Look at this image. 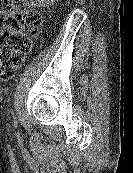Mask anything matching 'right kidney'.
Wrapping results in <instances>:
<instances>
[{
    "instance_id": "right-kidney-1",
    "label": "right kidney",
    "mask_w": 133,
    "mask_h": 173,
    "mask_svg": "<svg viewBox=\"0 0 133 173\" xmlns=\"http://www.w3.org/2000/svg\"><path fill=\"white\" fill-rule=\"evenodd\" d=\"M58 0H36V2H38L39 6H47V5H51L54 2H56Z\"/></svg>"
}]
</instances>
